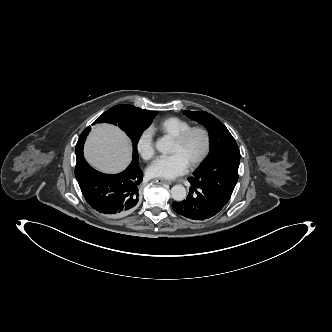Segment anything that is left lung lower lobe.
Masks as SVG:
<instances>
[{
  "instance_id": "1",
  "label": "left lung lower lobe",
  "mask_w": 332,
  "mask_h": 332,
  "mask_svg": "<svg viewBox=\"0 0 332 332\" xmlns=\"http://www.w3.org/2000/svg\"><path fill=\"white\" fill-rule=\"evenodd\" d=\"M188 181L191 188L187 198L181 202L172 203L177 214L202 221L216 215L227 204V199L204 186L196 185L190 178Z\"/></svg>"
}]
</instances>
